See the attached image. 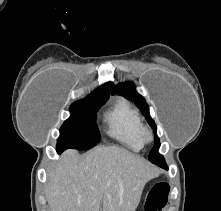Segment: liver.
I'll list each match as a JSON object with an SVG mask.
<instances>
[{"mask_svg": "<svg viewBox=\"0 0 221 211\" xmlns=\"http://www.w3.org/2000/svg\"><path fill=\"white\" fill-rule=\"evenodd\" d=\"M159 171L117 146H99L80 156L67 150L48 170L51 211H135L145 184Z\"/></svg>", "mask_w": 221, "mask_h": 211, "instance_id": "liver-1", "label": "liver"}]
</instances>
